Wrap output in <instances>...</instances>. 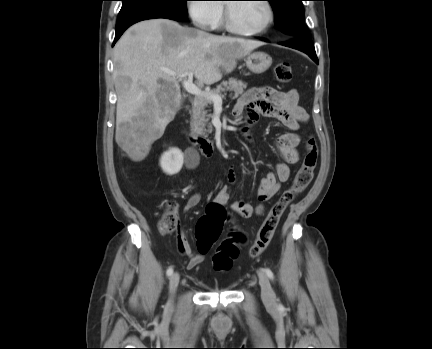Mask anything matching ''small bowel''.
<instances>
[{"instance_id":"small-bowel-1","label":"small bowel","mask_w":432,"mask_h":349,"mask_svg":"<svg viewBox=\"0 0 432 349\" xmlns=\"http://www.w3.org/2000/svg\"><path fill=\"white\" fill-rule=\"evenodd\" d=\"M234 113L236 115L246 114V125L243 127L244 136L249 139L248 128L251 124L257 121L259 116L273 118L281 122V124L289 130L277 137L275 148L281 158L273 171L261 180L257 190V198L259 205L253 207L250 203L238 199L230 204V207L240 217L248 219L254 214L260 215L263 213V203L270 200L280 189L281 184L286 182L290 177V165L299 162L300 154L298 146L301 138L296 133L302 123H306L309 115L306 110L299 105V95L296 90L279 91L273 87H254L247 90L238 99ZM199 162L198 157L194 153L186 155V166L193 169ZM229 183L235 180L233 170H229L227 174ZM230 199L229 186H223L217 193L214 202L218 205L225 206ZM201 201L199 193H193L185 204V210L194 209ZM179 248L182 253L188 256L187 268L193 269L203 261V255L193 252L190 244L179 233Z\"/></svg>"}]
</instances>
